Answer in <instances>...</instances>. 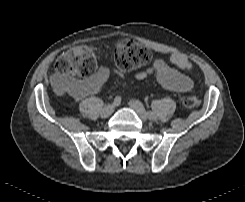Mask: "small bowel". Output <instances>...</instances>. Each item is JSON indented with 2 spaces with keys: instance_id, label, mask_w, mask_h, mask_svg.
I'll return each mask as SVG.
<instances>
[{
  "instance_id": "obj_1",
  "label": "small bowel",
  "mask_w": 245,
  "mask_h": 202,
  "mask_svg": "<svg viewBox=\"0 0 245 202\" xmlns=\"http://www.w3.org/2000/svg\"><path fill=\"white\" fill-rule=\"evenodd\" d=\"M170 63L162 60H154L147 68L133 73L137 80L155 78L164 88L177 93L189 91L193 86V80L178 69L185 70L190 67L187 59L179 52L170 54ZM111 72L118 75H126L125 71L119 68H113L111 71L106 67H100L90 78L81 83H76V89L68 93L72 101L79 98L97 93L105 86Z\"/></svg>"
}]
</instances>
